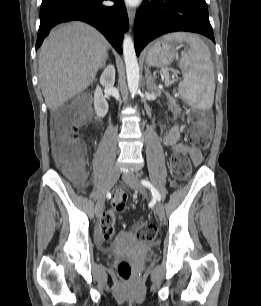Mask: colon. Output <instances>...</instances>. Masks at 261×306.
I'll use <instances>...</instances> for the list:
<instances>
[{"instance_id": "5ec220e1", "label": "colon", "mask_w": 261, "mask_h": 306, "mask_svg": "<svg viewBox=\"0 0 261 306\" xmlns=\"http://www.w3.org/2000/svg\"><path fill=\"white\" fill-rule=\"evenodd\" d=\"M87 113V98H80L61 108L54 121L56 130L54 158L68 176L77 183H81L85 178L83 168L85 145L78 135V130L84 124ZM188 138L195 148H207L211 140L208 125L205 122L193 120V124L188 131ZM170 167L177 180H184L191 172V159L185 151L177 150L171 157ZM126 201V193H116L112 199V209L103 213L100 220V229L105 241H110L114 236V210H123ZM137 235L143 241L153 242L157 239L158 229L154 224H144L138 227ZM117 272L122 279L128 280L133 269L128 262L121 261L117 265Z\"/></svg>"}]
</instances>
